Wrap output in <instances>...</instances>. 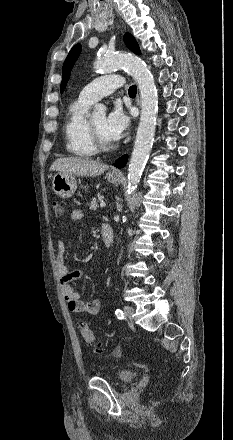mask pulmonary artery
<instances>
[{
  "instance_id": "1",
  "label": "pulmonary artery",
  "mask_w": 233,
  "mask_h": 440,
  "mask_svg": "<svg viewBox=\"0 0 233 440\" xmlns=\"http://www.w3.org/2000/svg\"><path fill=\"white\" fill-rule=\"evenodd\" d=\"M124 79L120 75L111 74L99 77L86 85L79 94V99L86 103H94L122 87Z\"/></svg>"
}]
</instances>
